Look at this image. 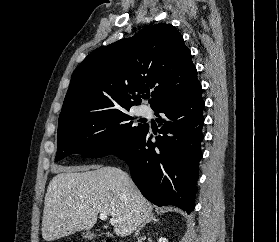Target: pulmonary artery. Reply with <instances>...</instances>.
I'll use <instances>...</instances> for the list:
<instances>
[{
	"label": "pulmonary artery",
	"instance_id": "pulmonary-artery-1",
	"mask_svg": "<svg viewBox=\"0 0 279 242\" xmlns=\"http://www.w3.org/2000/svg\"><path fill=\"white\" fill-rule=\"evenodd\" d=\"M139 113H140L142 116H146V115H148V113H149V109H148L147 107H145V106H142V107H140V109H139Z\"/></svg>",
	"mask_w": 279,
	"mask_h": 242
}]
</instances>
